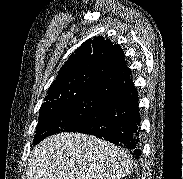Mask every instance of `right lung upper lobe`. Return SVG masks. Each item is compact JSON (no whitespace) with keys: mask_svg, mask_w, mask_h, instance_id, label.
I'll use <instances>...</instances> for the list:
<instances>
[{"mask_svg":"<svg viewBox=\"0 0 183 179\" xmlns=\"http://www.w3.org/2000/svg\"><path fill=\"white\" fill-rule=\"evenodd\" d=\"M130 77L121 47L103 37L85 41L70 55L42 106L87 95H104Z\"/></svg>","mask_w":183,"mask_h":179,"instance_id":"1","label":"right lung upper lobe"}]
</instances>
